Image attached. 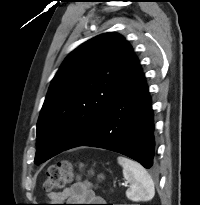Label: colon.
I'll return each mask as SVG.
<instances>
[{
  "label": "colon",
  "instance_id": "colon-1",
  "mask_svg": "<svg viewBox=\"0 0 200 205\" xmlns=\"http://www.w3.org/2000/svg\"><path fill=\"white\" fill-rule=\"evenodd\" d=\"M73 177V168L68 161H61L51 165L46 172L44 189L49 193H53L70 183Z\"/></svg>",
  "mask_w": 200,
  "mask_h": 205
}]
</instances>
